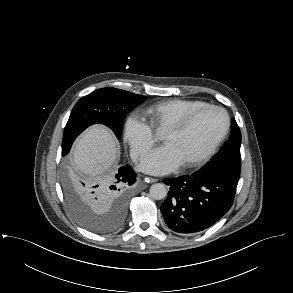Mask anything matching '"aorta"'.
Here are the masks:
<instances>
[{
    "label": "aorta",
    "mask_w": 293,
    "mask_h": 293,
    "mask_svg": "<svg viewBox=\"0 0 293 293\" xmlns=\"http://www.w3.org/2000/svg\"><path fill=\"white\" fill-rule=\"evenodd\" d=\"M150 196L155 200H162L167 196V189L162 183H155L150 187Z\"/></svg>",
    "instance_id": "aorta-1"
}]
</instances>
